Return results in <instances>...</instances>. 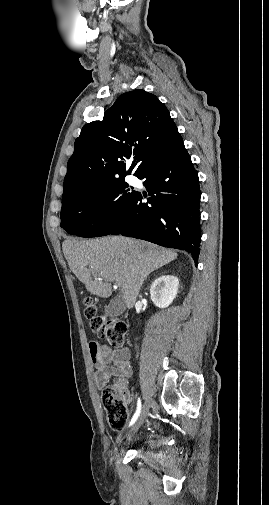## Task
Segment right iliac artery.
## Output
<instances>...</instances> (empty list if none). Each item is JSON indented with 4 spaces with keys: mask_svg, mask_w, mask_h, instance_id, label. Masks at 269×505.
<instances>
[{
    "mask_svg": "<svg viewBox=\"0 0 269 505\" xmlns=\"http://www.w3.org/2000/svg\"><path fill=\"white\" fill-rule=\"evenodd\" d=\"M140 412H141V400H140V398H138V401H137V410H136L135 414L133 415V417H132V419H131V421L129 423V426H132L136 422L137 418L140 415Z\"/></svg>",
    "mask_w": 269,
    "mask_h": 505,
    "instance_id": "82829eb1",
    "label": "right iliac artery"
}]
</instances>
